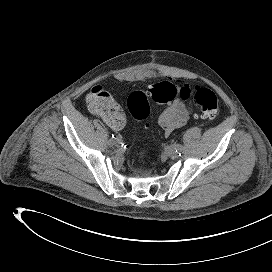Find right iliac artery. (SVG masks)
<instances>
[{
	"instance_id": "right-iliac-artery-1",
	"label": "right iliac artery",
	"mask_w": 272,
	"mask_h": 272,
	"mask_svg": "<svg viewBox=\"0 0 272 272\" xmlns=\"http://www.w3.org/2000/svg\"><path fill=\"white\" fill-rule=\"evenodd\" d=\"M108 139H109L111 142L116 143V142L119 141V136H118V134L113 133V134H110V135L108 136Z\"/></svg>"
}]
</instances>
